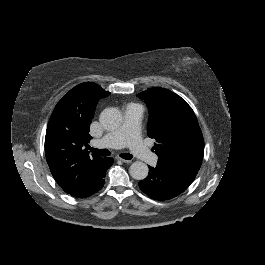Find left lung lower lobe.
Segmentation results:
<instances>
[{
  "instance_id": "obj_1",
  "label": "left lung lower lobe",
  "mask_w": 265,
  "mask_h": 265,
  "mask_svg": "<svg viewBox=\"0 0 265 265\" xmlns=\"http://www.w3.org/2000/svg\"><path fill=\"white\" fill-rule=\"evenodd\" d=\"M197 173L194 170L171 168L157 164L155 168L149 166L148 176L138 184L149 197L155 200H167L185 191Z\"/></svg>"
}]
</instances>
